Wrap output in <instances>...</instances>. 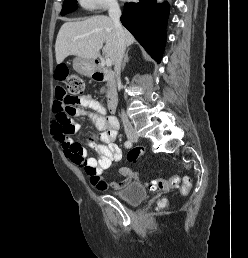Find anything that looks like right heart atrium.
Masks as SVG:
<instances>
[{"instance_id": "d8ad5b80", "label": "right heart atrium", "mask_w": 248, "mask_h": 258, "mask_svg": "<svg viewBox=\"0 0 248 258\" xmlns=\"http://www.w3.org/2000/svg\"><path fill=\"white\" fill-rule=\"evenodd\" d=\"M82 8L86 10L113 9L117 7L116 0H78Z\"/></svg>"}]
</instances>
